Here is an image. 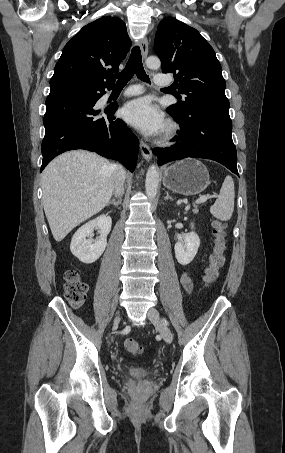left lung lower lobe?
<instances>
[{"label":"left lung lower lobe","mask_w":285,"mask_h":453,"mask_svg":"<svg viewBox=\"0 0 285 453\" xmlns=\"http://www.w3.org/2000/svg\"><path fill=\"white\" fill-rule=\"evenodd\" d=\"M168 112L179 123L181 131L173 138L177 141L175 145L153 150L159 165L187 157L205 158L223 164L238 175L229 113L203 109L189 111L187 115Z\"/></svg>","instance_id":"obj_1"}]
</instances>
